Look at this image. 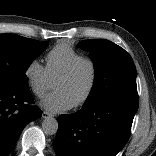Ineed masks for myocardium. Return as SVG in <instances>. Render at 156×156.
Instances as JSON below:
<instances>
[{
	"instance_id": "f54148a6",
	"label": "myocardium",
	"mask_w": 156,
	"mask_h": 156,
	"mask_svg": "<svg viewBox=\"0 0 156 156\" xmlns=\"http://www.w3.org/2000/svg\"><path fill=\"white\" fill-rule=\"evenodd\" d=\"M84 64H87L90 67L91 80L84 95L73 104V107L75 108L81 107L84 104H86L89 101V99L92 97L94 90L97 86L99 71L95 61L90 58L82 57L76 60L68 69H66L55 79V81L70 79L75 75L78 69Z\"/></svg>"
}]
</instances>
